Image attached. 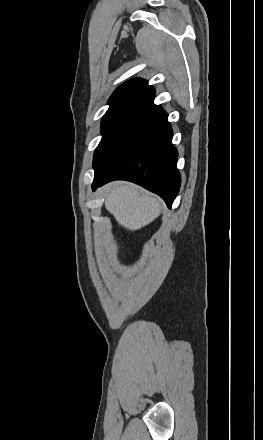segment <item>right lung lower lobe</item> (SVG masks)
Listing matches in <instances>:
<instances>
[{"label": "right lung lower lobe", "instance_id": "1", "mask_svg": "<svg viewBox=\"0 0 263 440\" xmlns=\"http://www.w3.org/2000/svg\"><path fill=\"white\" fill-rule=\"evenodd\" d=\"M172 136L168 115L161 108L158 117L112 170L103 178H94L93 191L113 180H127L158 194L171 208L181 183Z\"/></svg>", "mask_w": 263, "mask_h": 440}]
</instances>
